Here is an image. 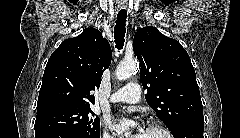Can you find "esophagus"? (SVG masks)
<instances>
[{
  "instance_id": "obj_1",
  "label": "esophagus",
  "mask_w": 240,
  "mask_h": 138,
  "mask_svg": "<svg viewBox=\"0 0 240 138\" xmlns=\"http://www.w3.org/2000/svg\"><path fill=\"white\" fill-rule=\"evenodd\" d=\"M120 8H121V9H124V8H126V5L121 4V5H120Z\"/></svg>"
}]
</instances>
